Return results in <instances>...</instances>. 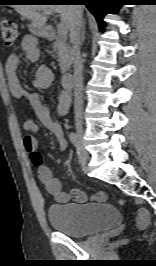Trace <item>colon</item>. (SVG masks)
Returning <instances> with one entry per match:
<instances>
[{
    "label": "colon",
    "mask_w": 156,
    "mask_h": 266,
    "mask_svg": "<svg viewBox=\"0 0 156 266\" xmlns=\"http://www.w3.org/2000/svg\"><path fill=\"white\" fill-rule=\"evenodd\" d=\"M0 34L4 44L8 47L12 46L18 36L16 24L10 19H3L0 23ZM31 159L35 166L42 164V158L39 153L34 154ZM119 202L123 204L122 200H120ZM136 224L140 229H144L148 226L149 215L146 210H140L138 212Z\"/></svg>",
    "instance_id": "obj_1"
}]
</instances>
